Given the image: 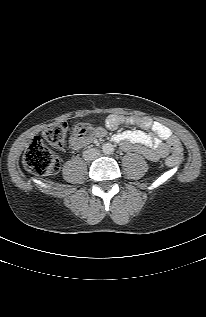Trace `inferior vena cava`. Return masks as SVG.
Masks as SVG:
<instances>
[{
  "mask_svg": "<svg viewBox=\"0 0 206 317\" xmlns=\"http://www.w3.org/2000/svg\"><path fill=\"white\" fill-rule=\"evenodd\" d=\"M100 155V151L96 148H90L83 152V158L85 160H94Z\"/></svg>",
  "mask_w": 206,
  "mask_h": 317,
  "instance_id": "obj_1",
  "label": "inferior vena cava"
}]
</instances>
